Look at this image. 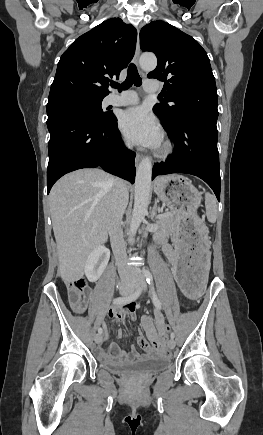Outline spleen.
Here are the masks:
<instances>
[{
    "instance_id": "spleen-1",
    "label": "spleen",
    "mask_w": 263,
    "mask_h": 435,
    "mask_svg": "<svg viewBox=\"0 0 263 435\" xmlns=\"http://www.w3.org/2000/svg\"><path fill=\"white\" fill-rule=\"evenodd\" d=\"M205 206L208 220L212 222L215 221L217 215V204L215 197L210 193L205 194Z\"/></svg>"
}]
</instances>
